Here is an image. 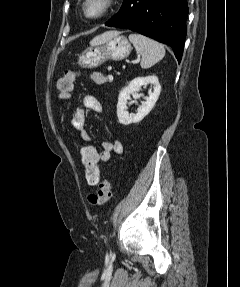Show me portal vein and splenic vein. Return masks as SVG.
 Here are the masks:
<instances>
[{
    "label": "portal vein and splenic vein",
    "mask_w": 240,
    "mask_h": 287,
    "mask_svg": "<svg viewBox=\"0 0 240 287\" xmlns=\"http://www.w3.org/2000/svg\"><path fill=\"white\" fill-rule=\"evenodd\" d=\"M139 60H140V58H137L136 61H139ZM108 78H109V80H113V76L112 75H109Z\"/></svg>",
    "instance_id": "portal-vein-and-splenic-vein-1"
}]
</instances>
